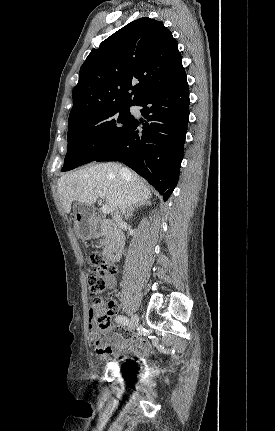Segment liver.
I'll return each instance as SVG.
<instances>
[{
    "instance_id": "1",
    "label": "liver",
    "mask_w": 275,
    "mask_h": 431,
    "mask_svg": "<svg viewBox=\"0 0 275 431\" xmlns=\"http://www.w3.org/2000/svg\"><path fill=\"white\" fill-rule=\"evenodd\" d=\"M58 193L65 213L72 202L91 206L104 193L111 215L124 213L132 205L151 197V190L139 175L118 163H99L61 176Z\"/></svg>"
}]
</instances>
